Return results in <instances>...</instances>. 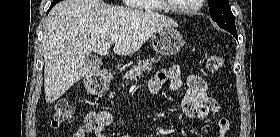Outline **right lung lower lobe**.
<instances>
[{
  "mask_svg": "<svg viewBox=\"0 0 280 137\" xmlns=\"http://www.w3.org/2000/svg\"><path fill=\"white\" fill-rule=\"evenodd\" d=\"M59 1H60V0H53V2L51 3V6H50L48 12L50 11V9H51L55 4L58 3Z\"/></svg>",
  "mask_w": 280,
  "mask_h": 137,
  "instance_id": "right-lung-lower-lobe-1",
  "label": "right lung lower lobe"
}]
</instances>
